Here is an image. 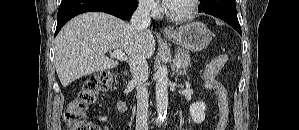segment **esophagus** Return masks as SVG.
Segmentation results:
<instances>
[{
    "instance_id": "obj_1",
    "label": "esophagus",
    "mask_w": 299,
    "mask_h": 130,
    "mask_svg": "<svg viewBox=\"0 0 299 130\" xmlns=\"http://www.w3.org/2000/svg\"><path fill=\"white\" fill-rule=\"evenodd\" d=\"M173 32V28L170 27V26H166L164 29H163V33L164 34H170Z\"/></svg>"
}]
</instances>
